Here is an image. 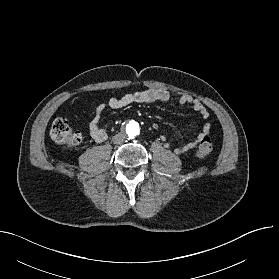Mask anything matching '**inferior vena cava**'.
Listing matches in <instances>:
<instances>
[{
    "instance_id": "obj_1",
    "label": "inferior vena cava",
    "mask_w": 279,
    "mask_h": 279,
    "mask_svg": "<svg viewBox=\"0 0 279 279\" xmlns=\"http://www.w3.org/2000/svg\"><path fill=\"white\" fill-rule=\"evenodd\" d=\"M114 144H122L125 140V135L122 133H118L112 138Z\"/></svg>"
}]
</instances>
